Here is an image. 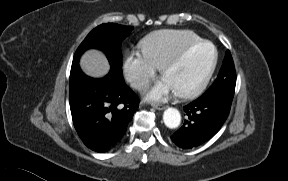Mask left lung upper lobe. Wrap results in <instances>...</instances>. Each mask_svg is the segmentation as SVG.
Returning a JSON list of instances; mask_svg holds the SVG:
<instances>
[{"label": "left lung upper lobe", "mask_w": 288, "mask_h": 181, "mask_svg": "<svg viewBox=\"0 0 288 181\" xmlns=\"http://www.w3.org/2000/svg\"><path fill=\"white\" fill-rule=\"evenodd\" d=\"M236 85V72L232 56L229 51L225 58L215 82L201 96L202 98L218 97L229 103H232Z\"/></svg>", "instance_id": "left-lung-upper-lobe-1"}]
</instances>
